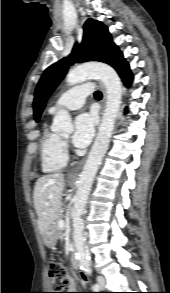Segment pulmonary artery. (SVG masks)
Masks as SVG:
<instances>
[{
    "instance_id": "1",
    "label": "pulmonary artery",
    "mask_w": 170,
    "mask_h": 293,
    "mask_svg": "<svg viewBox=\"0 0 170 293\" xmlns=\"http://www.w3.org/2000/svg\"><path fill=\"white\" fill-rule=\"evenodd\" d=\"M92 89L93 87L90 83H84L67 90L57 98L49 108V112L54 113L60 107L71 110L79 109L84 105L85 98L92 92Z\"/></svg>"
}]
</instances>
